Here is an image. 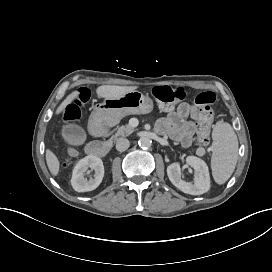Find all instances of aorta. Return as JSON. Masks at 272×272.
Listing matches in <instances>:
<instances>
[{"instance_id":"1","label":"aorta","mask_w":272,"mask_h":272,"mask_svg":"<svg viewBox=\"0 0 272 272\" xmlns=\"http://www.w3.org/2000/svg\"><path fill=\"white\" fill-rule=\"evenodd\" d=\"M138 144L140 147L148 148L151 146V140L148 137H140Z\"/></svg>"}]
</instances>
